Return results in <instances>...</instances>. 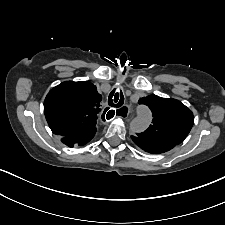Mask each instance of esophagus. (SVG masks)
<instances>
[{"mask_svg": "<svg viewBox=\"0 0 225 225\" xmlns=\"http://www.w3.org/2000/svg\"><path fill=\"white\" fill-rule=\"evenodd\" d=\"M120 109L115 110V116L120 118H128L131 113L130 108L127 105H125ZM109 111H111V109Z\"/></svg>", "mask_w": 225, "mask_h": 225, "instance_id": "34e87169", "label": "esophagus"}]
</instances>
